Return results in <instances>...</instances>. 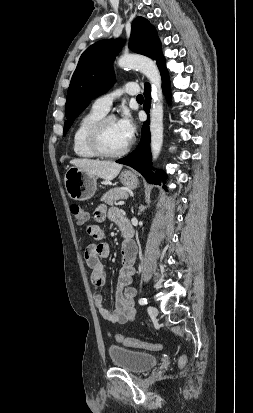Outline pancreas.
Masks as SVG:
<instances>
[{
	"label": "pancreas",
	"instance_id": "1",
	"mask_svg": "<svg viewBox=\"0 0 253 413\" xmlns=\"http://www.w3.org/2000/svg\"><path fill=\"white\" fill-rule=\"evenodd\" d=\"M128 197V193L122 188H113L106 192L101 200L108 205H113L117 200Z\"/></svg>",
	"mask_w": 253,
	"mask_h": 413
}]
</instances>
